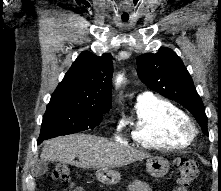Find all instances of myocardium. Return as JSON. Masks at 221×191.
<instances>
[{"instance_id":"1","label":"myocardium","mask_w":221,"mask_h":191,"mask_svg":"<svg viewBox=\"0 0 221 191\" xmlns=\"http://www.w3.org/2000/svg\"><path fill=\"white\" fill-rule=\"evenodd\" d=\"M179 132L189 140H192L198 134V128L194 122L186 118L179 125Z\"/></svg>"}]
</instances>
